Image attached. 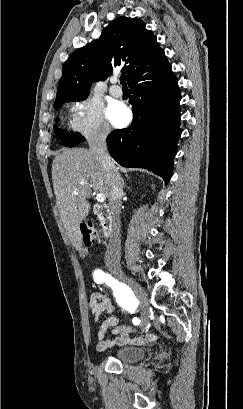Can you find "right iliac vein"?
<instances>
[{"label":"right iliac vein","mask_w":243,"mask_h":409,"mask_svg":"<svg viewBox=\"0 0 243 409\" xmlns=\"http://www.w3.org/2000/svg\"><path fill=\"white\" fill-rule=\"evenodd\" d=\"M117 277L125 282L135 293L136 297L140 302V309H141V320L142 324H146L148 322V308H147V296L143 289L137 284L131 277L125 275L123 272H117Z\"/></svg>","instance_id":"1"}]
</instances>
